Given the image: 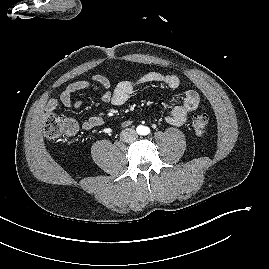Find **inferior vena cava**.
<instances>
[{
  "label": "inferior vena cava",
  "mask_w": 269,
  "mask_h": 269,
  "mask_svg": "<svg viewBox=\"0 0 269 269\" xmlns=\"http://www.w3.org/2000/svg\"><path fill=\"white\" fill-rule=\"evenodd\" d=\"M120 137L123 141L132 142V141L136 140L137 133L133 129L126 128V129L122 130Z\"/></svg>",
  "instance_id": "602c4592"
}]
</instances>
